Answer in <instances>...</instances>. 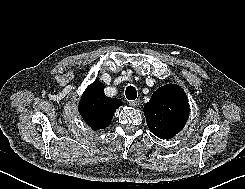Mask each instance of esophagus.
Masks as SVG:
<instances>
[{
	"label": "esophagus",
	"instance_id": "1",
	"mask_svg": "<svg viewBox=\"0 0 245 189\" xmlns=\"http://www.w3.org/2000/svg\"><path fill=\"white\" fill-rule=\"evenodd\" d=\"M140 104V99L129 101V105L132 107H137Z\"/></svg>",
	"mask_w": 245,
	"mask_h": 189
}]
</instances>
